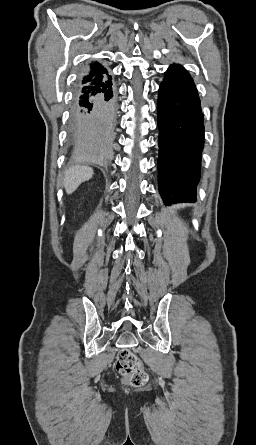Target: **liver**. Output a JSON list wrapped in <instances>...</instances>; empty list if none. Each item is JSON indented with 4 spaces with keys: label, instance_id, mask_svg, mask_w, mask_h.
<instances>
[{
    "label": "liver",
    "instance_id": "obj_1",
    "mask_svg": "<svg viewBox=\"0 0 256 445\" xmlns=\"http://www.w3.org/2000/svg\"><path fill=\"white\" fill-rule=\"evenodd\" d=\"M92 175L93 169L88 166L77 165L66 170L63 187L67 194L74 192L82 182L89 180Z\"/></svg>",
    "mask_w": 256,
    "mask_h": 445
}]
</instances>
